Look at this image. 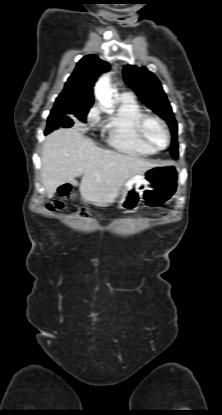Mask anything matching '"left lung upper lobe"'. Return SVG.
I'll return each instance as SVG.
<instances>
[{"instance_id":"1","label":"left lung upper lobe","mask_w":222,"mask_h":415,"mask_svg":"<svg viewBox=\"0 0 222 415\" xmlns=\"http://www.w3.org/2000/svg\"><path fill=\"white\" fill-rule=\"evenodd\" d=\"M123 75L126 84L135 91L141 101L168 123L173 136L170 153L177 158V123L160 81L146 68L130 65L124 67Z\"/></svg>"}]
</instances>
